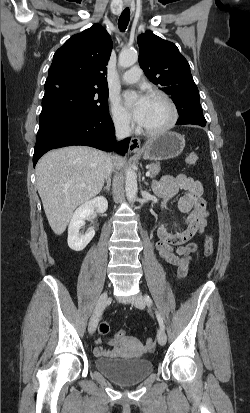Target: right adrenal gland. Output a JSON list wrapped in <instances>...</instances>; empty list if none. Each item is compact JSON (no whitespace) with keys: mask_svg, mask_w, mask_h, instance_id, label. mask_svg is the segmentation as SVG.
<instances>
[{"mask_svg":"<svg viewBox=\"0 0 250 413\" xmlns=\"http://www.w3.org/2000/svg\"><path fill=\"white\" fill-rule=\"evenodd\" d=\"M111 187V180L110 178L107 180V185L104 187V191L109 192Z\"/></svg>","mask_w":250,"mask_h":413,"instance_id":"1","label":"right adrenal gland"}]
</instances>
